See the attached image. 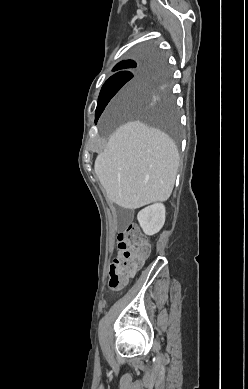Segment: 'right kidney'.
<instances>
[{
  "instance_id": "obj_1",
  "label": "right kidney",
  "mask_w": 248,
  "mask_h": 389,
  "mask_svg": "<svg viewBox=\"0 0 248 389\" xmlns=\"http://www.w3.org/2000/svg\"><path fill=\"white\" fill-rule=\"evenodd\" d=\"M165 206L156 203L142 209L138 215V222L146 235H154L161 230L165 223Z\"/></svg>"
}]
</instances>
